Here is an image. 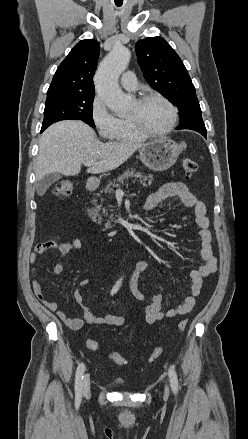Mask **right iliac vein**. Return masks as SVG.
<instances>
[{"label":"right iliac vein","instance_id":"obj_1","mask_svg":"<svg viewBox=\"0 0 248 439\" xmlns=\"http://www.w3.org/2000/svg\"><path fill=\"white\" fill-rule=\"evenodd\" d=\"M90 391V377L89 374H85L83 380V394L86 395Z\"/></svg>","mask_w":248,"mask_h":439}]
</instances>
